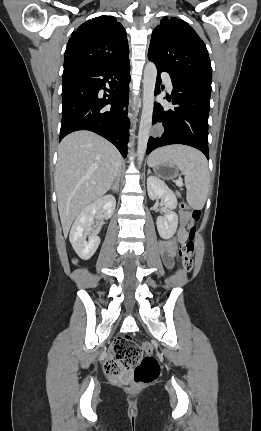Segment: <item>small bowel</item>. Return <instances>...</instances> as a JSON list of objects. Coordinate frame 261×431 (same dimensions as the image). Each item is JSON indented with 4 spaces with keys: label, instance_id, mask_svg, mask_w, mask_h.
<instances>
[{
    "label": "small bowel",
    "instance_id": "c3829d8e",
    "mask_svg": "<svg viewBox=\"0 0 261 431\" xmlns=\"http://www.w3.org/2000/svg\"><path fill=\"white\" fill-rule=\"evenodd\" d=\"M186 218L181 216V227L177 232V236L168 240L159 242V252L163 262L167 268H173L177 257L178 246L183 243L186 238Z\"/></svg>",
    "mask_w": 261,
    "mask_h": 431
}]
</instances>
